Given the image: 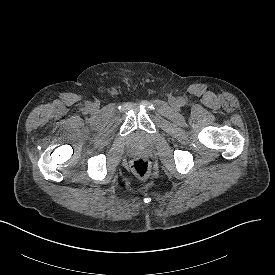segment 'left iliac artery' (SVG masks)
Segmentation results:
<instances>
[{
    "mask_svg": "<svg viewBox=\"0 0 275 275\" xmlns=\"http://www.w3.org/2000/svg\"><path fill=\"white\" fill-rule=\"evenodd\" d=\"M179 103H180L181 106H183L185 104V99L180 98Z\"/></svg>",
    "mask_w": 275,
    "mask_h": 275,
    "instance_id": "1",
    "label": "left iliac artery"
}]
</instances>
